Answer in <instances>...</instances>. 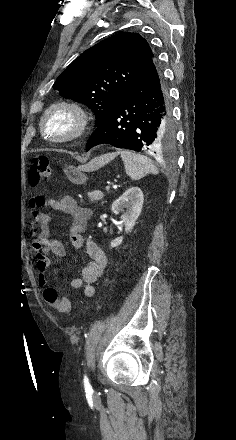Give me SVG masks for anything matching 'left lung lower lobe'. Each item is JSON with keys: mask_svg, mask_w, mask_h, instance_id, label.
<instances>
[{"mask_svg": "<svg viewBox=\"0 0 236 440\" xmlns=\"http://www.w3.org/2000/svg\"><path fill=\"white\" fill-rule=\"evenodd\" d=\"M169 91L155 59L113 106L89 138L86 150L110 144L134 151L154 150L173 140Z\"/></svg>", "mask_w": 236, "mask_h": 440, "instance_id": "obj_1", "label": "left lung lower lobe"}]
</instances>
